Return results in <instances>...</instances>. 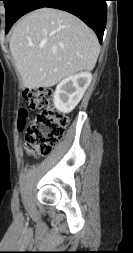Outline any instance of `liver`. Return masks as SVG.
Wrapping results in <instances>:
<instances>
[{
	"label": "liver",
	"instance_id": "6515ba94",
	"mask_svg": "<svg viewBox=\"0 0 133 253\" xmlns=\"http://www.w3.org/2000/svg\"><path fill=\"white\" fill-rule=\"evenodd\" d=\"M10 51L29 89L52 87L78 72L91 71L100 45L96 34L74 15L41 8L13 27Z\"/></svg>",
	"mask_w": 133,
	"mask_h": 253
}]
</instances>
